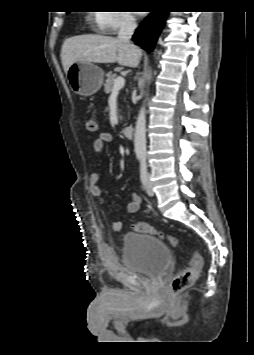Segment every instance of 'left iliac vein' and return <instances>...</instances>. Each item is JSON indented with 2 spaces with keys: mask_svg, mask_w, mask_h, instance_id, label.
Wrapping results in <instances>:
<instances>
[{
  "mask_svg": "<svg viewBox=\"0 0 254 355\" xmlns=\"http://www.w3.org/2000/svg\"><path fill=\"white\" fill-rule=\"evenodd\" d=\"M146 184H147V188H146V192H147V194L149 195V196H154V191H153V189H152V187H151V184H150V182H149V175H147V182H146Z\"/></svg>",
  "mask_w": 254,
  "mask_h": 355,
  "instance_id": "left-iliac-vein-1",
  "label": "left iliac vein"
}]
</instances>
